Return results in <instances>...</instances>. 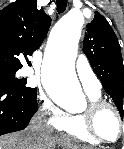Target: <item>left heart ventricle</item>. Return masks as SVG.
Wrapping results in <instances>:
<instances>
[{"label":"left heart ventricle","instance_id":"b2bd125f","mask_svg":"<svg viewBox=\"0 0 124 149\" xmlns=\"http://www.w3.org/2000/svg\"><path fill=\"white\" fill-rule=\"evenodd\" d=\"M95 125L98 133L108 140H115L119 135V124L110 108H104L97 114Z\"/></svg>","mask_w":124,"mask_h":149}]
</instances>
